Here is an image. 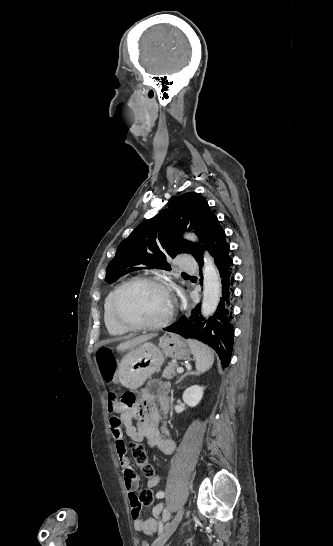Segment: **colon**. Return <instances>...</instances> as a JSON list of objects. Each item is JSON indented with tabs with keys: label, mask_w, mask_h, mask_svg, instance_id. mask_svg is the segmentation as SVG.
<instances>
[{
	"label": "colon",
	"mask_w": 333,
	"mask_h": 546,
	"mask_svg": "<svg viewBox=\"0 0 333 546\" xmlns=\"http://www.w3.org/2000/svg\"><path fill=\"white\" fill-rule=\"evenodd\" d=\"M97 364L101 371L103 378L107 381L111 380V372L115 370V364L112 360L111 352L109 349H101L96 354ZM111 402H114L115 396H110ZM121 403L125 406L132 407L137 403V397L135 393H127L121 398ZM132 454L140 467L142 473L150 478L155 475L154 467L149 463L147 452L141 443L135 442L132 445ZM155 494L152 489H144L141 491L138 497V503L140 506H151L154 504Z\"/></svg>",
	"instance_id": "obj_1"
}]
</instances>
